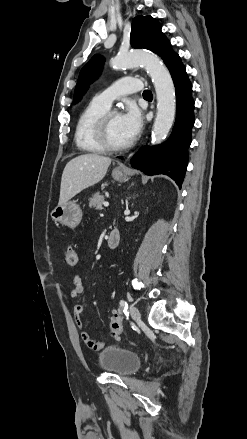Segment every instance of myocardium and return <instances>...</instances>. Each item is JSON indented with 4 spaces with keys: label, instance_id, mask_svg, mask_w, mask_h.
<instances>
[{
    "label": "myocardium",
    "instance_id": "1",
    "mask_svg": "<svg viewBox=\"0 0 247 439\" xmlns=\"http://www.w3.org/2000/svg\"><path fill=\"white\" fill-rule=\"evenodd\" d=\"M116 112L107 111L98 121L96 127V138L99 144L105 151L118 152L128 149L132 146L133 142L130 140L127 143L121 145H115L110 140L109 135V121L112 114Z\"/></svg>",
    "mask_w": 247,
    "mask_h": 439
}]
</instances>
